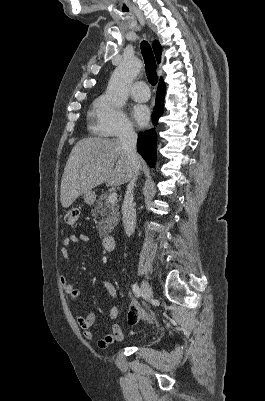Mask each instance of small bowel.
<instances>
[{"label":"small bowel","mask_w":265,"mask_h":401,"mask_svg":"<svg viewBox=\"0 0 265 401\" xmlns=\"http://www.w3.org/2000/svg\"><path fill=\"white\" fill-rule=\"evenodd\" d=\"M89 241H90V238L86 234L70 235V236L64 238V240L62 242L63 246L60 249L61 257L64 260H67L69 258V246L78 244V243H88ZM61 283L64 287L65 294L69 299L75 300L78 298L79 290L76 288V286L73 283H71L69 281V278L67 276H65V275L61 276ZM100 283L106 289L109 296L113 300H116L117 295H118L116 287L107 280H101ZM132 311L138 313V306L135 301H132L130 304L128 316ZM118 315H119V310L116 305H113L109 310V317L113 321H116L118 318ZM76 321H77L79 327L81 328L84 337L89 341L95 342L99 348L105 349V348L109 347L111 344H113L115 342H120L124 339V333H123L120 325L117 322H114L112 325V332L105 335L103 338L96 340L94 337L93 330H92V327L96 322V318H95L94 312L91 309H88L85 315H80V314L77 315ZM128 323L130 324L129 319H128ZM130 325H132V324H130Z\"/></svg>","instance_id":"obj_1"}]
</instances>
